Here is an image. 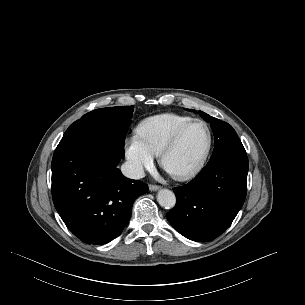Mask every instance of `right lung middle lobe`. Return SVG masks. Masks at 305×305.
Listing matches in <instances>:
<instances>
[{
	"instance_id": "obj_1",
	"label": "right lung middle lobe",
	"mask_w": 305,
	"mask_h": 305,
	"mask_svg": "<svg viewBox=\"0 0 305 305\" xmlns=\"http://www.w3.org/2000/svg\"><path fill=\"white\" fill-rule=\"evenodd\" d=\"M133 110V106L108 107L83 115L66 130L56 149L89 140H103L123 157Z\"/></svg>"
}]
</instances>
